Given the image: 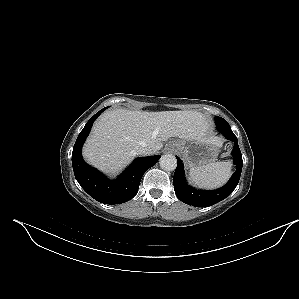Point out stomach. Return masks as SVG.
Masks as SVG:
<instances>
[{"mask_svg": "<svg viewBox=\"0 0 299 299\" xmlns=\"http://www.w3.org/2000/svg\"><path fill=\"white\" fill-rule=\"evenodd\" d=\"M171 144L175 147V152L183 157L186 164L194 168L214 162L220 152L222 141L211 136L201 139H180Z\"/></svg>", "mask_w": 299, "mask_h": 299, "instance_id": "0dacf381", "label": "stomach"}]
</instances>
